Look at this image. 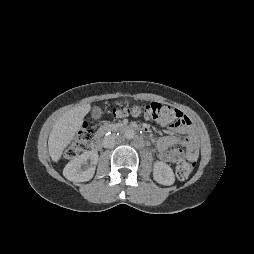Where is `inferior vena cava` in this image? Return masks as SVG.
I'll use <instances>...</instances> for the list:
<instances>
[{
	"label": "inferior vena cava",
	"instance_id": "inferior-vena-cava-1",
	"mask_svg": "<svg viewBox=\"0 0 254 254\" xmlns=\"http://www.w3.org/2000/svg\"><path fill=\"white\" fill-rule=\"evenodd\" d=\"M116 143V136L115 135H109L104 137L103 139V146L104 148H113Z\"/></svg>",
	"mask_w": 254,
	"mask_h": 254
}]
</instances>
